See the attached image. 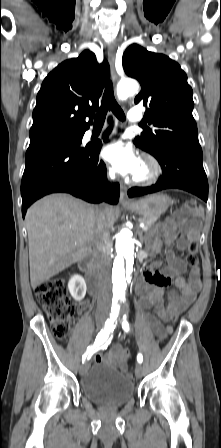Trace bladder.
Segmentation results:
<instances>
[{"label": "bladder", "mask_w": 221, "mask_h": 448, "mask_svg": "<svg viewBox=\"0 0 221 448\" xmlns=\"http://www.w3.org/2000/svg\"><path fill=\"white\" fill-rule=\"evenodd\" d=\"M80 390L90 401L105 407H121L134 397V383L124 372L104 361L81 378Z\"/></svg>", "instance_id": "1"}]
</instances>
